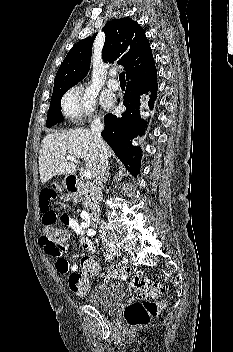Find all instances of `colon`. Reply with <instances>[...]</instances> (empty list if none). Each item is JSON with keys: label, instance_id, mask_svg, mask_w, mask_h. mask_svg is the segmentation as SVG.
Masks as SVG:
<instances>
[{"label": "colon", "instance_id": "1", "mask_svg": "<svg viewBox=\"0 0 233 352\" xmlns=\"http://www.w3.org/2000/svg\"><path fill=\"white\" fill-rule=\"evenodd\" d=\"M42 224L43 237L57 246H64L66 242L65 231L56 227L52 221H46ZM99 272L98 260L91 255L84 256L81 260V269L71 273L68 278L71 291L78 297H85L90 290V278ZM103 276L106 279L128 280L130 273L125 266L114 264L104 271ZM130 285L140 294L142 300L131 302L125 307L124 319L130 327L146 325L153 316H156L165 307L166 303L159 301L165 292V287L155 283L149 277H144L140 272L133 274L130 278Z\"/></svg>", "mask_w": 233, "mask_h": 352}]
</instances>
